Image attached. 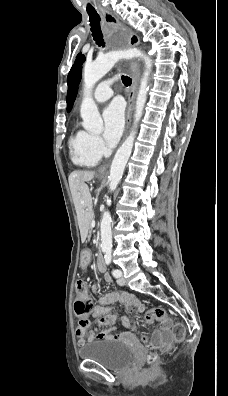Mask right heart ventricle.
I'll return each mask as SVG.
<instances>
[{
	"label": "right heart ventricle",
	"mask_w": 228,
	"mask_h": 396,
	"mask_svg": "<svg viewBox=\"0 0 228 396\" xmlns=\"http://www.w3.org/2000/svg\"><path fill=\"white\" fill-rule=\"evenodd\" d=\"M72 161L83 167L97 165L100 157L90 145V134L83 130H76L69 140Z\"/></svg>",
	"instance_id": "e07e8e85"
}]
</instances>
